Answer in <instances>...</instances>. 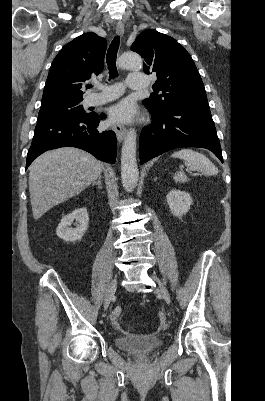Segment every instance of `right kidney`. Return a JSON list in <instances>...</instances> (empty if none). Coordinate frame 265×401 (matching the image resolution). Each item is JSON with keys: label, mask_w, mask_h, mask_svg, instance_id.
Listing matches in <instances>:
<instances>
[{"label": "right kidney", "mask_w": 265, "mask_h": 401, "mask_svg": "<svg viewBox=\"0 0 265 401\" xmlns=\"http://www.w3.org/2000/svg\"><path fill=\"white\" fill-rule=\"evenodd\" d=\"M78 221L79 225H77L76 229H71L70 225L73 221ZM89 217L87 213V209L82 207V209H75L72 211L70 215H66L61 219V223H59L56 231L57 237L63 239V241H81L84 233H86L88 229Z\"/></svg>", "instance_id": "ca27d5eb"}]
</instances>
